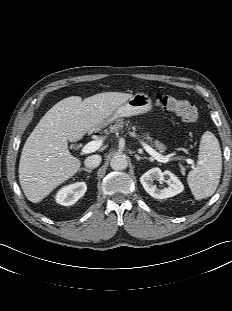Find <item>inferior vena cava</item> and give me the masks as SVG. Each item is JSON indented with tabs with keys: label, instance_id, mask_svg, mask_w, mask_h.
Returning <instances> with one entry per match:
<instances>
[{
	"label": "inferior vena cava",
	"instance_id": "1",
	"mask_svg": "<svg viewBox=\"0 0 232 311\" xmlns=\"http://www.w3.org/2000/svg\"><path fill=\"white\" fill-rule=\"evenodd\" d=\"M101 161H102V158L100 155H92V156H89L85 159L84 165L87 168L93 169V168L98 167L100 165Z\"/></svg>",
	"mask_w": 232,
	"mask_h": 311
}]
</instances>
